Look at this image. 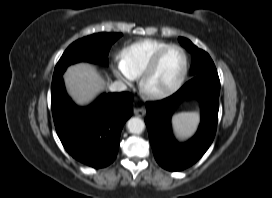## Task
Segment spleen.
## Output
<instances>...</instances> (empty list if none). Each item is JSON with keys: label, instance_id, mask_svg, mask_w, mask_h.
Returning a JSON list of instances; mask_svg holds the SVG:
<instances>
[{"label": "spleen", "instance_id": "spleen-1", "mask_svg": "<svg viewBox=\"0 0 272 198\" xmlns=\"http://www.w3.org/2000/svg\"><path fill=\"white\" fill-rule=\"evenodd\" d=\"M199 123V114L197 112H181L173 116L172 125L179 137L191 135Z\"/></svg>", "mask_w": 272, "mask_h": 198}]
</instances>
